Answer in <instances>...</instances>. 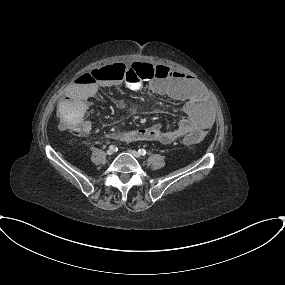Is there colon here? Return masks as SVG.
<instances>
[{"label": "colon", "mask_w": 285, "mask_h": 285, "mask_svg": "<svg viewBox=\"0 0 285 285\" xmlns=\"http://www.w3.org/2000/svg\"><path fill=\"white\" fill-rule=\"evenodd\" d=\"M122 65L113 64L104 69L93 70L91 72H81L76 80L80 83L91 84L97 80L105 79L108 76H112L121 69ZM140 81H151L153 79L165 80L173 76L169 68L163 65H153L145 62L134 63L130 69ZM80 124V118L77 117L74 120H63V127L68 130L78 131ZM204 139V134L200 130H193L187 134L183 141L186 144H196Z\"/></svg>", "instance_id": "obj_1"}]
</instances>
